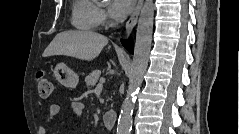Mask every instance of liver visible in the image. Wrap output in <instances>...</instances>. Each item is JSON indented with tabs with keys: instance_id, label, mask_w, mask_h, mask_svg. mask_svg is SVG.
<instances>
[{
	"instance_id": "obj_1",
	"label": "liver",
	"mask_w": 239,
	"mask_h": 134,
	"mask_svg": "<svg viewBox=\"0 0 239 134\" xmlns=\"http://www.w3.org/2000/svg\"><path fill=\"white\" fill-rule=\"evenodd\" d=\"M108 38L93 31H66L55 36L43 57L64 55L91 61L99 56Z\"/></svg>"
}]
</instances>
